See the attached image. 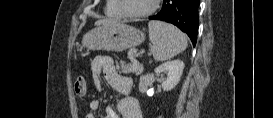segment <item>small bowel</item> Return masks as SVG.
<instances>
[{"label":"small bowel","instance_id":"small-bowel-1","mask_svg":"<svg viewBox=\"0 0 273 118\" xmlns=\"http://www.w3.org/2000/svg\"><path fill=\"white\" fill-rule=\"evenodd\" d=\"M91 72L98 90H102L101 75H103L109 86L122 95L117 103V110L112 107L105 109V118H142L137 99L130 96L132 80L118 72L112 58L96 57L92 61ZM88 106L91 112L87 113L85 118H94L92 112L99 110L100 102L94 99L89 102Z\"/></svg>","mask_w":273,"mask_h":118}]
</instances>
